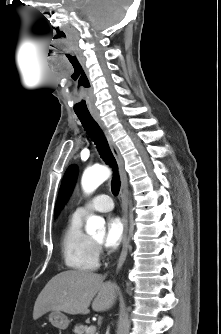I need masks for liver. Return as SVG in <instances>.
<instances>
[{
	"label": "liver",
	"instance_id": "liver-1",
	"mask_svg": "<svg viewBox=\"0 0 221 334\" xmlns=\"http://www.w3.org/2000/svg\"><path fill=\"white\" fill-rule=\"evenodd\" d=\"M118 287L97 273L69 270L55 275L38 295L33 319L49 311L87 314L109 310L116 302ZM92 303V304H91Z\"/></svg>",
	"mask_w": 221,
	"mask_h": 334
}]
</instances>
